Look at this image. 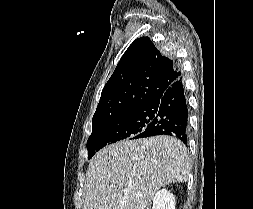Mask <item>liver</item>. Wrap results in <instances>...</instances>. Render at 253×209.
I'll return each instance as SVG.
<instances>
[{
  "label": "liver",
  "instance_id": "obj_1",
  "mask_svg": "<svg viewBox=\"0 0 253 209\" xmlns=\"http://www.w3.org/2000/svg\"><path fill=\"white\" fill-rule=\"evenodd\" d=\"M189 174L187 148L171 136L111 144L89 162L83 209H151L159 188Z\"/></svg>",
  "mask_w": 253,
  "mask_h": 209
}]
</instances>
